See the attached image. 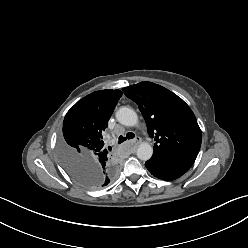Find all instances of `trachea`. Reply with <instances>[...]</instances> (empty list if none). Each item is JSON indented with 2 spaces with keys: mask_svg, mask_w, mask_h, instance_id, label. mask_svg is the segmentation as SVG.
<instances>
[{
  "mask_svg": "<svg viewBox=\"0 0 248 248\" xmlns=\"http://www.w3.org/2000/svg\"><path fill=\"white\" fill-rule=\"evenodd\" d=\"M135 137V134L132 133V132H128L126 134V136H119V139H118V143H123L124 141H126L127 139H133Z\"/></svg>",
  "mask_w": 248,
  "mask_h": 248,
  "instance_id": "3493384b",
  "label": "trachea"
}]
</instances>
